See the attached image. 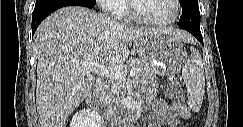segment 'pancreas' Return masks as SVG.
Instances as JSON below:
<instances>
[{"mask_svg": "<svg viewBox=\"0 0 243 127\" xmlns=\"http://www.w3.org/2000/svg\"><path fill=\"white\" fill-rule=\"evenodd\" d=\"M133 68L139 69L137 77L142 80H153L154 74L151 70L140 60L132 61ZM125 82L122 79H115L111 82V87L103 92V102L105 104H112V102H117L120 99L121 89H124ZM116 95V97H115ZM122 97L124 95L122 94Z\"/></svg>", "mask_w": 243, "mask_h": 127, "instance_id": "pancreas-1", "label": "pancreas"}]
</instances>
